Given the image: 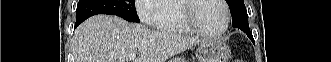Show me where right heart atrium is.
Wrapping results in <instances>:
<instances>
[{"mask_svg": "<svg viewBox=\"0 0 331 62\" xmlns=\"http://www.w3.org/2000/svg\"><path fill=\"white\" fill-rule=\"evenodd\" d=\"M164 0H137L136 9L140 20L148 25L157 26L159 19L156 12Z\"/></svg>", "mask_w": 331, "mask_h": 62, "instance_id": "1", "label": "right heart atrium"}]
</instances>
